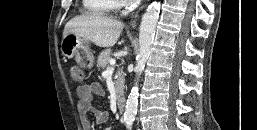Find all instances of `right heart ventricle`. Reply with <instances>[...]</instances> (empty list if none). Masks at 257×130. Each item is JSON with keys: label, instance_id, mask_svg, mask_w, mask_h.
Segmentation results:
<instances>
[{"label": "right heart ventricle", "instance_id": "1", "mask_svg": "<svg viewBox=\"0 0 257 130\" xmlns=\"http://www.w3.org/2000/svg\"><path fill=\"white\" fill-rule=\"evenodd\" d=\"M86 12L94 15H108L120 6V0H82Z\"/></svg>", "mask_w": 257, "mask_h": 130}]
</instances>
